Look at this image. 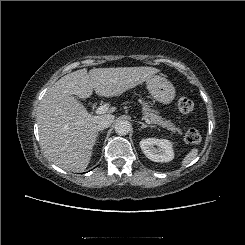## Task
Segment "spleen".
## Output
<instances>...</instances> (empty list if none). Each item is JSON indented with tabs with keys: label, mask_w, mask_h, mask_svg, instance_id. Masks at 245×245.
I'll use <instances>...</instances> for the list:
<instances>
[{
	"label": "spleen",
	"mask_w": 245,
	"mask_h": 245,
	"mask_svg": "<svg viewBox=\"0 0 245 245\" xmlns=\"http://www.w3.org/2000/svg\"><path fill=\"white\" fill-rule=\"evenodd\" d=\"M197 155H198V149L196 148L191 149L182 160V166H186L187 164H189L197 157Z\"/></svg>",
	"instance_id": "3e777b00"
}]
</instances>
